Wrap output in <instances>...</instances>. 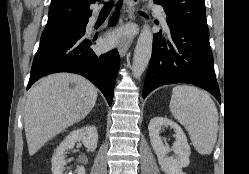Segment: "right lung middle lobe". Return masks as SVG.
Wrapping results in <instances>:
<instances>
[{"label": "right lung middle lobe", "mask_w": 249, "mask_h": 174, "mask_svg": "<svg viewBox=\"0 0 249 174\" xmlns=\"http://www.w3.org/2000/svg\"><path fill=\"white\" fill-rule=\"evenodd\" d=\"M83 21H85V20H74V21L60 23V24L50 26V27H45V29L41 35L40 44L46 43V42L52 40L55 35H57L58 33L66 30V29L72 28L76 25H81Z\"/></svg>", "instance_id": "obj_1"}]
</instances>
